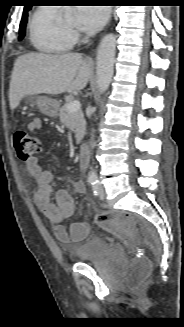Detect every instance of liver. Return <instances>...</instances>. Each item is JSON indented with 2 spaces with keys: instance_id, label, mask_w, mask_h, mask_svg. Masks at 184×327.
Instances as JSON below:
<instances>
[{
  "instance_id": "6515ba94",
  "label": "liver",
  "mask_w": 184,
  "mask_h": 327,
  "mask_svg": "<svg viewBox=\"0 0 184 327\" xmlns=\"http://www.w3.org/2000/svg\"><path fill=\"white\" fill-rule=\"evenodd\" d=\"M89 78L90 64L79 53L21 55L16 59L11 75L10 108L14 110L26 95L81 91Z\"/></svg>"
}]
</instances>
